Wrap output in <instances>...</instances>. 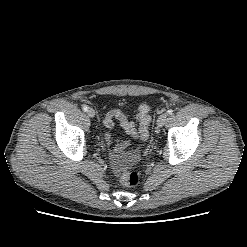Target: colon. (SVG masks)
Segmentation results:
<instances>
[{
    "label": "colon",
    "mask_w": 247,
    "mask_h": 247,
    "mask_svg": "<svg viewBox=\"0 0 247 247\" xmlns=\"http://www.w3.org/2000/svg\"><path fill=\"white\" fill-rule=\"evenodd\" d=\"M114 119L120 121L122 127L128 134L133 135L141 140H145L148 138L149 126L151 122L150 106L148 104L142 103L137 108V119L139 122L138 129H136L135 125L131 121H129L120 110H113L107 114L103 121L106 130H110L113 127ZM105 137L107 142H109V132L106 133ZM119 150L120 147L116 148L115 153L117 154ZM120 182L124 187L134 188L138 186L140 182V174L135 170L127 168L121 173Z\"/></svg>",
    "instance_id": "1"
}]
</instances>
